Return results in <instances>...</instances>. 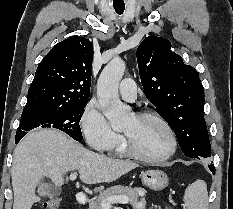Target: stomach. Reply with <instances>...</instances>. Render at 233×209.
<instances>
[{
    "label": "stomach",
    "instance_id": "0dacf381",
    "mask_svg": "<svg viewBox=\"0 0 233 209\" xmlns=\"http://www.w3.org/2000/svg\"><path fill=\"white\" fill-rule=\"evenodd\" d=\"M141 175L143 185L155 191L164 189L169 183L167 174L159 169L147 170Z\"/></svg>",
    "mask_w": 233,
    "mask_h": 209
}]
</instances>
